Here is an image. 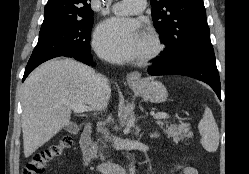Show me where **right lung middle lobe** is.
Wrapping results in <instances>:
<instances>
[{
  "mask_svg": "<svg viewBox=\"0 0 249 174\" xmlns=\"http://www.w3.org/2000/svg\"><path fill=\"white\" fill-rule=\"evenodd\" d=\"M94 18L73 20L41 27L38 43L29 61L50 53H90V36Z\"/></svg>",
  "mask_w": 249,
  "mask_h": 174,
  "instance_id": "right-lung-middle-lobe-1",
  "label": "right lung middle lobe"
}]
</instances>
